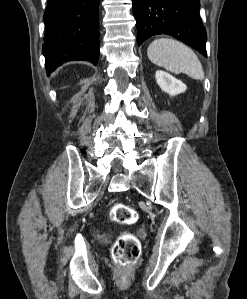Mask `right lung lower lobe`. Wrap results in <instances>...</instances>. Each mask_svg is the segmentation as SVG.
<instances>
[{"label":"right lung lower lobe","instance_id":"98d812e1","mask_svg":"<svg viewBox=\"0 0 247 299\" xmlns=\"http://www.w3.org/2000/svg\"><path fill=\"white\" fill-rule=\"evenodd\" d=\"M100 0H48L43 55L47 74L67 61L99 58Z\"/></svg>","mask_w":247,"mask_h":299}]
</instances>
